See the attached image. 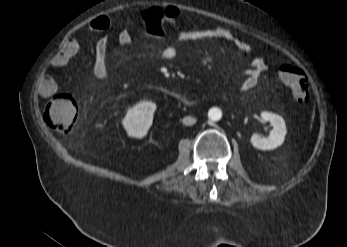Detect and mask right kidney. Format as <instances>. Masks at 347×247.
Instances as JSON below:
<instances>
[{
    "instance_id": "ca27d5eb",
    "label": "right kidney",
    "mask_w": 347,
    "mask_h": 247,
    "mask_svg": "<svg viewBox=\"0 0 347 247\" xmlns=\"http://www.w3.org/2000/svg\"><path fill=\"white\" fill-rule=\"evenodd\" d=\"M156 104L150 101H142L130 108L122 120V125L128 135L142 138L153 122Z\"/></svg>"
}]
</instances>
